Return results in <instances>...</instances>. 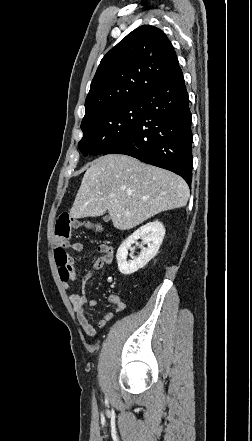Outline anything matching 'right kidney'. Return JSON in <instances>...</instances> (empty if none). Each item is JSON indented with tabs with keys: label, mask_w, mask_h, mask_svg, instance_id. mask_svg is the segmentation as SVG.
Listing matches in <instances>:
<instances>
[{
	"label": "right kidney",
	"mask_w": 252,
	"mask_h": 441,
	"mask_svg": "<svg viewBox=\"0 0 252 441\" xmlns=\"http://www.w3.org/2000/svg\"><path fill=\"white\" fill-rule=\"evenodd\" d=\"M164 235L165 228L158 220L149 222L137 229L117 250L116 259L119 271L123 275H130L143 268L157 254ZM138 239H142L143 244H148V247L145 248L141 245L140 255L131 261H127L128 249Z\"/></svg>",
	"instance_id": "obj_1"
}]
</instances>
